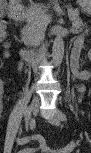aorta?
<instances>
[{"instance_id": "1", "label": "aorta", "mask_w": 91, "mask_h": 153, "mask_svg": "<svg viewBox=\"0 0 91 153\" xmlns=\"http://www.w3.org/2000/svg\"><path fill=\"white\" fill-rule=\"evenodd\" d=\"M64 56V41L61 36H57L53 42L52 59L56 66H59Z\"/></svg>"}]
</instances>
